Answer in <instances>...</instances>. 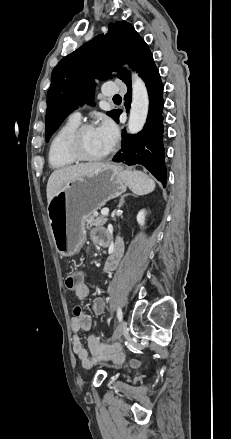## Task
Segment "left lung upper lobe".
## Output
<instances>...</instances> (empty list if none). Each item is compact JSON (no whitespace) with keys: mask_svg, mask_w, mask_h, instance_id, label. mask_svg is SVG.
<instances>
[{"mask_svg":"<svg viewBox=\"0 0 231 439\" xmlns=\"http://www.w3.org/2000/svg\"><path fill=\"white\" fill-rule=\"evenodd\" d=\"M147 48L134 27L121 21L110 23L108 33L96 36L64 57L53 69L47 94L46 141L72 111L92 100L95 78H111V72L117 71L123 63L134 69ZM129 76L125 68L117 72L123 82ZM117 112L112 110L107 114L115 119Z\"/></svg>","mask_w":231,"mask_h":439,"instance_id":"5c2ea615","label":"left lung upper lobe"}]
</instances>
